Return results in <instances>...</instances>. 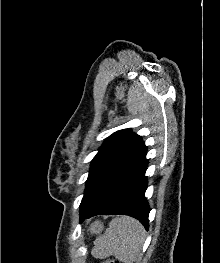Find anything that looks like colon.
<instances>
[{
	"label": "colon",
	"instance_id": "5ec220e1",
	"mask_svg": "<svg viewBox=\"0 0 220 263\" xmlns=\"http://www.w3.org/2000/svg\"><path fill=\"white\" fill-rule=\"evenodd\" d=\"M103 263H121V262L118 260H114V259H107Z\"/></svg>",
	"mask_w": 220,
	"mask_h": 263
}]
</instances>
